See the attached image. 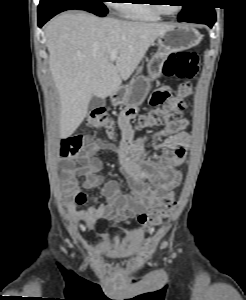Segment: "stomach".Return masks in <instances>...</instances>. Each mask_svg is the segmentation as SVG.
Returning a JSON list of instances; mask_svg holds the SVG:
<instances>
[{"instance_id": "stomach-1", "label": "stomach", "mask_w": 246, "mask_h": 300, "mask_svg": "<svg viewBox=\"0 0 246 300\" xmlns=\"http://www.w3.org/2000/svg\"><path fill=\"white\" fill-rule=\"evenodd\" d=\"M202 40V35L190 25H175L157 38V51L148 62L150 78L160 75L163 59L171 53L183 51L197 46ZM150 78L145 76L135 77L131 83L111 94L113 105L138 106L146 99L150 90Z\"/></svg>"}]
</instances>
